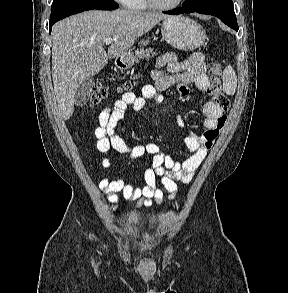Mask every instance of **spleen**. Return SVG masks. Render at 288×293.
I'll return each mask as SVG.
<instances>
[{
  "instance_id": "obj_1",
  "label": "spleen",
  "mask_w": 288,
  "mask_h": 293,
  "mask_svg": "<svg viewBox=\"0 0 288 293\" xmlns=\"http://www.w3.org/2000/svg\"><path fill=\"white\" fill-rule=\"evenodd\" d=\"M223 91L228 95H233L236 91L237 76L234 69L229 65L223 71Z\"/></svg>"
}]
</instances>
